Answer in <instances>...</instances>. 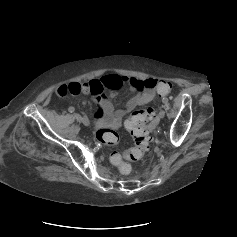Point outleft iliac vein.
<instances>
[{"mask_svg": "<svg viewBox=\"0 0 237 237\" xmlns=\"http://www.w3.org/2000/svg\"><path fill=\"white\" fill-rule=\"evenodd\" d=\"M158 116H159V118H163L165 116V111L164 110H160Z\"/></svg>", "mask_w": 237, "mask_h": 237, "instance_id": "obj_1", "label": "left iliac vein"}]
</instances>
